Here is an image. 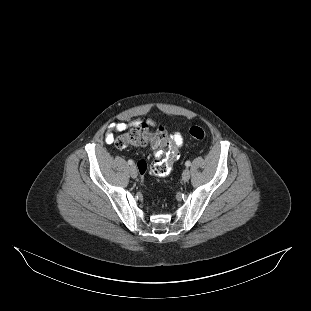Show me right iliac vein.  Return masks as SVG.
<instances>
[{
	"label": "right iliac vein",
	"instance_id": "obj_1",
	"mask_svg": "<svg viewBox=\"0 0 311 311\" xmlns=\"http://www.w3.org/2000/svg\"><path fill=\"white\" fill-rule=\"evenodd\" d=\"M130 175L132 178H136L138 173H137V169L135 166H131L129 169Z\"/></svg>",
	"mask_w": 311,
	"mask_h": 311
}]
</instances>
